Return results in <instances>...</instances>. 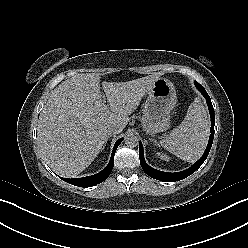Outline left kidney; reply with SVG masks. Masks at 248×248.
<instances>
[{"label": "left kidney", "mask_w": 248, "mask_h": 248, "mask_svg": "<svg viewBox=\"0 0 248 248\" xmlns=\"http://www.w3.org/2000/svg\"><path fill=\"white\" fill-rule=\"evenodd\" d=\"M161 158L164 159V160H167L168 159V157L165 156V155H161Z\"/></svg>", "instance_id": "1"}]
</instances>
